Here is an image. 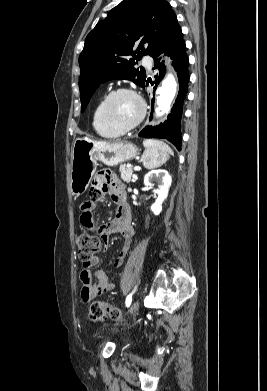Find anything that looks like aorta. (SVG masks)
Masks as SVG:
<instances>
[{
  "instance_id": "1",
  "label": "aorta",
  "mask_w": 267,
  "mask_h": 391,
  "mask_svg": "<svg viewBox=\"0 0 267 391\" xmlns=\"http://www.w3.org/2000/svg\"><path fill=\"white\" fill-rule=\"evenodd\" d=\"M177 91V82L172 74H168L157 89L156 116H162L170 110V105Z\"/></svg>"
}]
</instances>
